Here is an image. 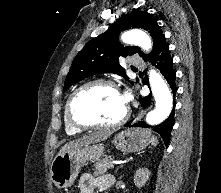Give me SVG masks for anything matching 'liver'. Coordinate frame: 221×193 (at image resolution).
<instances>
[{"label": "liver", "instance_id": "6515ba94", "mask_svg": "<svg viewBox=\"0 0 221 193\" xmlns=\"http://www.w3.org/2000/svg\"><path fill=\"white\" fill-rule=\"evenodd\" d=\"M111 131L109 130H99L96 132H92L88 135H85L81 138H78L76 140H72L68 143H66L59 151L58 154L73 150V149H78L81 148L85 145L89 144H95L101 141L106 140L110 135Z\"/></svg>", "mask_w": 221, "mask_h": 193}]
</instances>
